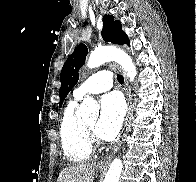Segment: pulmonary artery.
Segmentation results:
<instances>
[{
	"label": "pulmonary artery",
	"mask_w": 196,
	"mask_h": 182,
	"mask_svg": "<svg viewBox=\"0 0 196 182\" xmlns=\"http://www.w3.org/2000/svg\"><path fill=\"white\" fill-rule=\"evenodd\" d=\"M112 87V76L101 70L81 83L73 92L74 98L80 100L87 95L98 94L110 90Z\"/></svg>",
	"instance_id": "pulmonary-artery-1"
}]
</instances>
